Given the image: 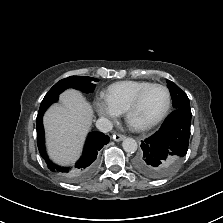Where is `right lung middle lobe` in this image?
Returning <instances> with one entry per match:
<instances>
[{
	"label": "right lung middle lobe",
	"instance_id": "obj_1",
	"mask_svg": "<svg viewBox=\"0 0 223 223\" xmlns=\"http://www.w3.org/2000/svg\"><path fill=\"white\" fill-rule=\"evenodd\" d=\"M97 81L98 79L87 76H70L62 79L49 90V92L45 95L41 105L54 101L58 98L59 94L67 88H74L85 93H91L94 91L96 86L94 82Z\"/></svg>",
	"mask_w": 223,
	"mask_h": 223
}]
</instances>
